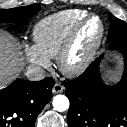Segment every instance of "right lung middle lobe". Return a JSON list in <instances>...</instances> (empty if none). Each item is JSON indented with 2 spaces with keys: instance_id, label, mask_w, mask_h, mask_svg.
Segmentation results:
<instances>
[{
  "instance_id": "1",
  "label": "right lung middle lobe",
  "mask_w": 127,
  "mask_h": 127,
  "mask_svg": "<svg viewBox=\"0 0 127 127\" xmlns=\"http://www.w3.org/2000/svg\"><path fill=\"white\" fill-rule=\"evenodd\" d=\"M40 10L39 4L0 10V23H25Z\"/></svg>"
}]
</instances>
